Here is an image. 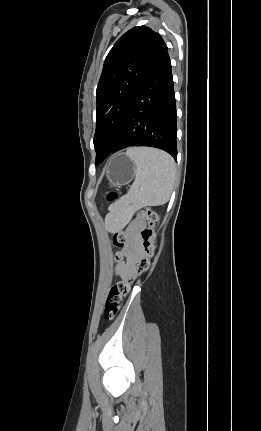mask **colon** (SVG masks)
<instances>
[{
  "label": "colon",
  "mask_w": 261,
  "mask_h": 431,
  "mask_svg": "<svg viewBox=\"0 0 261 431\" xmlns=\"http://www.w3.org/2000/svg\"><path fill=\"white\" fill-rule=\"evenodd\" d=\"M116 196V193H111L109 194L108 198L109 200H113L116 198ZM143 216L147 222V226L141 230V236L143 240L141 254L135 262L134 272L123 280L118 281L110 288L103 312L106 319H112L116 315L122 305L124 297H126L129 293L133 282L138 276L150 268L152 260L157 255V246L155 243L157 214L151 208H145L143 210ZM125 242L126 235L123 232H117L114 234L112 243L115 247H122L124 246ZM116 260H121L120 253L116 254Z\"/></svg>",
  "instance_id": "colon-1"
}]
</instances>
